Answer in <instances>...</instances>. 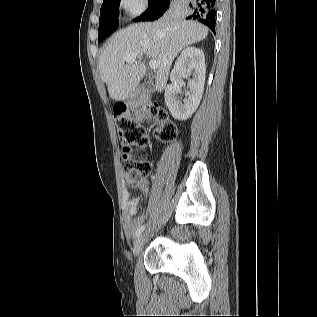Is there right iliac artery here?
Listing matches in <instances>:
<instances>
[{
  "label": "right iliac artery",
  "mask_w": 317,
  "mask_h": 317,
  "mask_svg": "<svg viewBox=\"0 0 317 317\" xmlns=\"http://www.w3.org/2000/svg\"><path fill=\"white\" fill-rule=\"evenodd\" d=\"M145 229V225H142L141 227H139L136 231L135 237H139L140 234L144 231Z\"/></svg>",
  "instance_id": "1"
}]
</instances>
